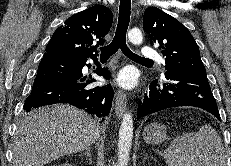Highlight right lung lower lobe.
<instances>
[{"label": "right lung lower lobe", "instance_id": "1", "mask_svg": "<svg viewBox=\"0 0 231 166\" xmlns=\"http://www.w3.org/2000/svg\"><path fill=\"white\" fill-rule=\"evenodd\" d=\"M97 62V58H92ZM87 59H72L46 54L43 56L30 95L26 98L24 110L55 103H69L84 109L91 115L105 117L109 114L113 100V89L91 87L95 80L83 77L82 68ZM96 73L110 79L107 68L98 67Z\"/></svg>", "mask_w": 231, "mask_h": 166}]
</instances>
